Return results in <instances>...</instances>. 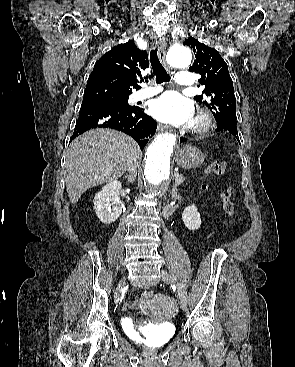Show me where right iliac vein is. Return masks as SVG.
Wrapping results in <instances>:
<instances>
[{
  "label": "right iliac vein",
  "mask_w": 295,
  "mask_h": 367,
  "mask_svg": "<svg viewBox=\"0 0 295 367\" xmlns=\"http://www.w3.org/2000/svg\"><path fill=\"white\" fill-rule=\"evenodd\" d=\"M121 287H122V283L119 285L116 295L119 296L120 295V291H121Z\"/></svg>",
  "instance_id": "obj_1"
}]
</instances>
